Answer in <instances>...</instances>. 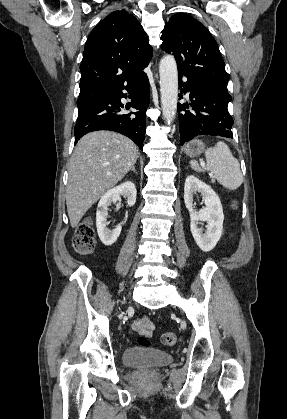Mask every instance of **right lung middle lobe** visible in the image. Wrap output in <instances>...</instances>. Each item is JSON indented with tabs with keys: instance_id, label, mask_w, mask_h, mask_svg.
<instances>
[{
	"instance_id": "right-lung-middle-lobe-1",
	"label": "right lung middle lobe",
	"mask_w": 287,
	"mask_h": 419,
	"mask_svg": "<svg viewBox=\"0 0 287 419\" xmlns=\"http://www.w3.org/2000/svg\"><path fill=\"white\" fill-rule=\"evenodd\" d=\"M88 106L82 107V106H78L79 108V113L82 112L84 109H86Z\"/></svg>"
}]
</instances>
